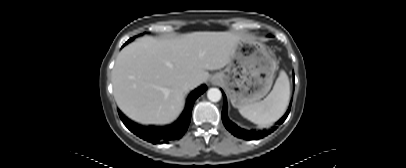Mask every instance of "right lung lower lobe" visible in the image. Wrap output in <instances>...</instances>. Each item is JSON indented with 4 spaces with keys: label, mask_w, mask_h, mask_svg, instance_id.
Returning <instances> with one entry per match:
<instances>
[{
    "label": "right lung lower lobe",
    "mask_w": 406,
    "mask_h": 168,
    "mask_svg": "<svg viewBox=\"0 0 406 168\" xmlns=\"http://www.w3.org/2000/svg\"><path fill=\"white\" fill-rule=\"evenodd\" d=\"M206 89L207 87L203 85L194 91L189 97V102L177 122L167 127H145L126 119L120 112L119 116L131 132L153 144L180 139L188 129L195 100L205 92Z\"/></svg>",
    "instance_id": "obj_1"
}]
</instances>
